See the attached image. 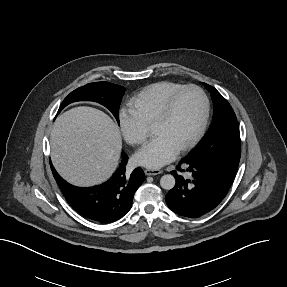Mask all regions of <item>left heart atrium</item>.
<instances>
[{"label": "left heart atrium", "mask_w": 287, "mask_h": 287, "mask_svg": "<svg viewBox=\"0 0 287 287\" xmlns=\"http://www.w3.org/2000/svg\"><path fill=\"white\" fill-rule=\"evenodd\" d=\"M178 149L162 136H156L135 154L138 164L149 168H159L172 161Z\"/></svg>", "instance_id": "39dd6f15"}]
</instances>
